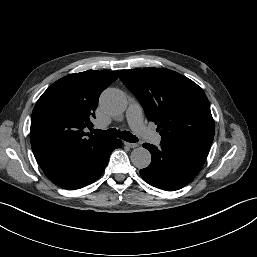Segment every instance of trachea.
Returning <instances> with one entry per match:
<instances>
[{"label": "trachea", "mask_w": 257, "mask_h": 257, "mask_svg": "<svg viewBox=\"0 0 257 257\" xmlns=\"http://www.w3.org/2000/svg\"><path fill=\"white\" fill-rule=\"evenodd\" d=\"M93 133L99 137L103 138H114V137H120L123 140L130 142V143H135L138 141L137 137L131 134L130 132L127 131H122L120 132L119 130H116L115 128H111L108 130H99L95 129L93 130Z\"/></svg>", "instance_id": "obj_1"}]
</instances>
